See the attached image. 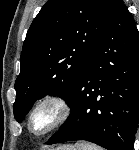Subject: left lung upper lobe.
Segmentation results:
<instances>
[{"mask_svg":"<svg viewBox=\"0 0 139 150\" xmlns=\"http://www.w3.org/2000/svg\"><path fill=\"white\" fill-rule=\"evenodd\" d=\"M116 0H49L23 44L14 116L22 121L47 94L72 97Z\"/></svg>","mask_w":139,"mask_h":150,"instance_id":"left-lung-upper-lobe-1","label":"left lung upper lobe"}]
</instances>
